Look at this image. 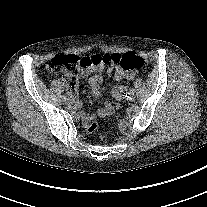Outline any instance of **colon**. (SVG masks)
<instances>
[{
	"instance_id": "colon-1",
	"label": "colon",
	"mask_w": 207,
	"mask_h": 207,
	"mask_svg": "<svg viewBox=\"0 0 207 207\" xmlns=\"http://www.w3.org/2000/svg\"><path fill=\"white\" fill-rule=\"evenodd\" d=\"M117 65L124 71L139 70L144 66V59L132 52L122 55L119 54H93L84 57H77L70 54H61L53 58L47 68L50 71H58L62 73L63 79L67 83L70 90L76 87L77 74L80 69L95 65ZM98 123L93 121L86 126L88 134L93 133L97 129Z\"/></svg>"
}]
</instances>
